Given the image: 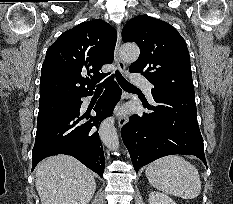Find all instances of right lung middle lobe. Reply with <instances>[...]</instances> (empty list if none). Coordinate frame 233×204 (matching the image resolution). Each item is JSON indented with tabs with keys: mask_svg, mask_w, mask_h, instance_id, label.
Segmentation results:
<instances>
[{
	"mask_svg": "<svg viewBox=\"0 0 233 204\" xmlns=\"http://www.w3.org/2000/svg\"><path fill=\"white\" fill-rule=\"evenodd\" d=\"M77 100L78 97H73L39 103L37 126L45 124L62 113L71 110Z\"/></svg>",
	"mask_w": 233,
	"mask_h": 204,
	"instance_id": "right-lung-middle-lobe-1",
	"label": "right lung middle lobe"
}]
</instances>
